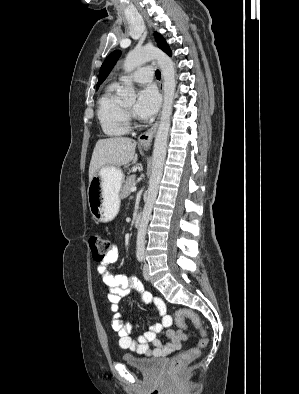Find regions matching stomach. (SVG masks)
<instances>
[{
	"mask_svg": "<svg viewBox=\"0 0 299 394\" xmlns=\"http://www.w3.org/2000/svg\"><path fill=\"white\" fill-rule=\"evenodd\" d=\"M124 174L120 168L103 167L89 182L87 195L92 217L106 223L115 218L120 207V189Z\"/></svg>",
	"mask_w": 299,
	"mask_h": 394,
	"instance_id": "1",
	"label": "stomach"
}]
</instances>
